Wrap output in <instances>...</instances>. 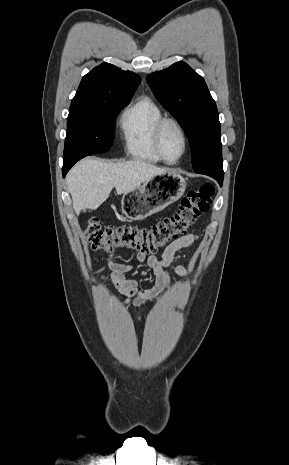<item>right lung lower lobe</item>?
<instances>
[{
    "label": "right lung lower lobe",
    "instance_id": "1",
    "mask_svg": "<svg viewBox=\"0 0 289 465\" xmlns=\"http://www.w3.org/2000/svg\"><path fill=\"white\" fill-rule=\"evenodd\" d=\"M78 161V159L72 160V161H64L63 167H62V175L63 177L66 176L67 172L69 169Z\"/></svg>",
    "mask_w": 289,
    "mask_h": 465
}]
</instances>
